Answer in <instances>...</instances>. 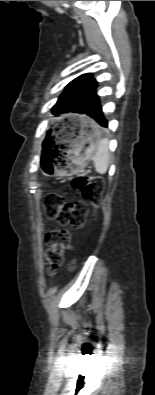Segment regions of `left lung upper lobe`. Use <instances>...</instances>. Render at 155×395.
Segmentation results:
<instances>
[{
	"label": "left lung upper lobe",
	"mask_w": 155,
	"mask_h": 395,
	"mask_svg": "<svg viewBox=\"0 0 155 395\" xmlns=\"http://www.w3.org/2000/svg\"><path fill=\"white\" fill-rule=\"evenodd\" d=\"M97 81L92 78L91 73L83 74L67 86L54 105L52 112L55 115L68 112L82 113V106L87 97L95 91Z\"/></svg>",
	"instance_id": "1"
}]
</instances>
